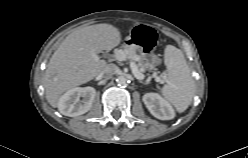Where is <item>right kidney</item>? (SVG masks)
I'll return each mask as SVG.
<instances>
[{"mask_svg":"<svg viewBox=\"0 0 248 158\" xmlns=\"http://www.w3.org/2000/svg\"><path fill=\"white\" fill-rule=\"evenodd\" d=\"M95 94L93 87H75L68 90L59 100L60 113L69 117L85 114L91 109Z\"/></svg>","mask_w":248,"mask_h":158,"instance_id":"ca27d5eb","label":"right kidney"}]
</instances>
